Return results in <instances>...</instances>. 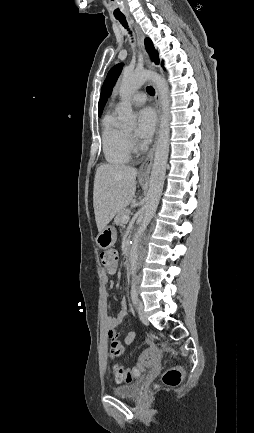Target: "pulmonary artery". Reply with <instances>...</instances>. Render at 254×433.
Listing matches in <instances>:
<instances>
[{"label":"pulmonary artery","mask_w":254,"mask_h":433,"mask_svg":"<svg viewBox=\"0 0 254 433\" xmlns=\"http://www.w3.org/2000/svg\"><path fill=\"white\" fill-rule=\"evenodd\" d=\"M146 98H147V96L144 92H136L132 95L131 102L134 105L140 106V105H143L145 103Z\"/></svg>","instance_id":"pulmonary-artery-1"}]
</instances>
